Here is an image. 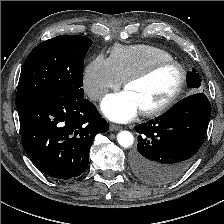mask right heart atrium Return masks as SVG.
I'll list each match as a JSON object with an SVG mask.
<instances>
[{"label":"right heart atrium","instance_id":"obj_1","mask_svg":"<svg viewBox=\"0 0 224 224\" xmlns=\"http://www.w3.org/2000/svg\"><path fill=\"white\" fill-rule=\"evenodd\" d=\"M122 80L113 68L110 58L96 56L88 63L83 75V88L93 101L102 99L110 90H116Z\"/></svg>","mask_w":224,"mask_h":224}]
</instances>
